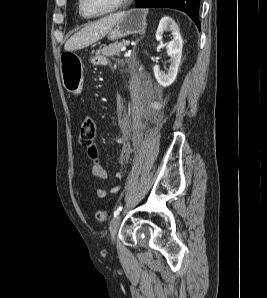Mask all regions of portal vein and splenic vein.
<instances>
[{
    "instance_id": "1",
    "label": "portal vein and splenic vein",
    "mask_w": 267,
    "mask_h": 298,
    "mask_svg": "<svg viewBox=\"0 0 267 298\" xmlns=\"http://www.w3.org/2000/svg\"><path fill=\"white\" fill-rule=\"evenodd\" d=\"M126 50V45H124L122 48H121V52H124Z\"/></svg>"
}]
</instances>
